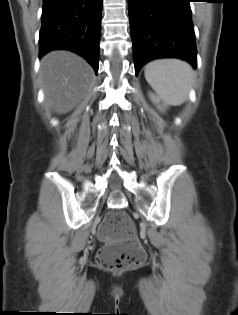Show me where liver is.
Wrapping results in <instances>:
<instances>
[{"instance_id": "liver-1", "label": "liver", "mask_w": 238, "mask_h": 315, "mask_svg": "<svg viewBox=\"0 0 238 315\" xmlns=\"http://www.w3.org/2000/svg\"><path fill=\"white\" fill-rule=\"evenodd\" d=\"M45 99L57 113H67L86 95L93 70L70 51H52L41 60Z\"/></svg>"}]
</instances>
